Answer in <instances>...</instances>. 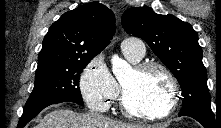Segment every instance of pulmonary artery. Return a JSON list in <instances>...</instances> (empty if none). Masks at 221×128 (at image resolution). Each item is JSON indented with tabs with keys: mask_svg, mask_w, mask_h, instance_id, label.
I'll return each mask as SVG.
<instances>
[{
	"mask_svg": "<svg viewBox=\"0 0 221 128\" xmlns=\"http://www.w3.org/2000/svg\"><path fill=\"white\" fill-rule=\"evenodd\" d=\"M122 52L130 54L134 60H140L145 54V43L138 37H127L121 45Z\"/></svg>",
	"mask_w": 221,
	"mask_h": 128,
	"instance_id": "pulmonary-artery-1",
	"label": "pulmonary artery"
}]
</instances>
